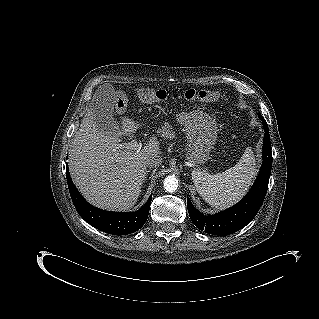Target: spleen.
<instances>
[{"label": "spleen", "mask_w": 319, "mask_h": 319, "mask_svg": "<svg viewBox=\"0 0 319 319\" xmlns=\"http://www.w3.org/2000/svg\"><path fill=\"white\" fill-rule=\"evenodd\" d=\"M256 171L253 151L248 147L235 166L214 175L194 169L192 179L199 195L208 204L226 208L245 195Z\"/></svg>", "instance_id": "spleen-1"}]
</instances>
